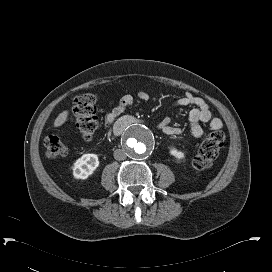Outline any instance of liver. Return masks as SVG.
<instances>
[{
    "label": "liver",
    "instance_id": "liver-1",
    "mask_svg": "<svg viewBox=\"0 0 272 272\" xmlns=\"http://www.w3.org/2000/svg\"><path fill=\"white\" fill-rule=\"evenodd\" d=\"M68 114L69 112L67 110L60 113L54 121V127L62 126L66 122Z\"/></svg>",
    "mask_w": 272,
    "mask_h": 272
}]
</instances>
